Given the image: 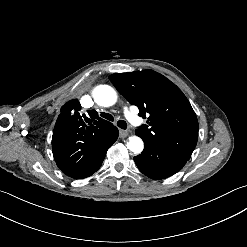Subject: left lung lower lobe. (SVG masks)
I'll use <instances>...</instances> for the list:
<instances>
[{"label":"left lung lower lobe","mask_w":247,"mask_h":247,"mask_svg":"<svg viewBox=\"0 0 247 247\" xmlns=\"http://www.w3.org/2000/svg\"><path fill=\"white\" fill-rule=\"evenodd\" d=\"M143 152L134 157L139 170L151 179H164L178 172L188 161L153 143L143 140Z\"/></svg>","instance_id":"0a47b994"}]
</instances>
